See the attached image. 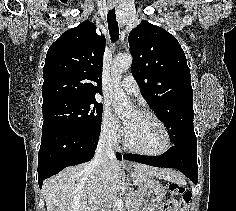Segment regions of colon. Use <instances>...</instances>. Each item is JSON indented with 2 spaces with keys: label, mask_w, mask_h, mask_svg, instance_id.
Masks as SVG:
<instances>
[{
  "label": "colon",
  "mask_w": 236,
  "mask_h": 211,
  "mask_svg": "<svg viewBox=\"0 0 236 211\" xmlns=\"http://www.w3.org/2000/svg\"><path fill=\"white\" fill-rule=\"evenodd\" d=\"M168 190L173 196L180 197L183 204H189L192 199L191 191L183 184L171 183ZM163 211H171V207H166Z\"/></svg>",
  "instance_id": "5ec220e1"
}]
</instances>
